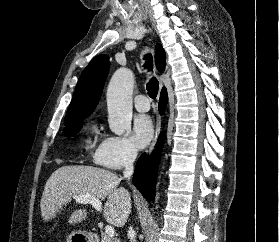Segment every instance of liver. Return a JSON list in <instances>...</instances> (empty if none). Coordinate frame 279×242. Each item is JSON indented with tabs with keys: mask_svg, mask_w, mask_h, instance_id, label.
Segmentation results:
<instances>
[{
	"mask_svg": "<svg viewBox=\"0 0 279 242\" xmlns=\"http://www.w3.org/2000/svg\"><path fill=\"white\" fill-rule=\"evenodd\" d=\"M121 178L112 171L83 165H70L58 168L47 180L42 194L40 208L44 221L56 217L72 198L87 195L105 199L104 217L116 227H122L131 212L130 193L118 187ZM87 218L86 210H75L69 224L80 223Z\"/></svg>",
	"mask_w": 279,
	"mask_h": 242,
	"instance_id": "liver-1",
	"label": "liver"
}]
</instances>
